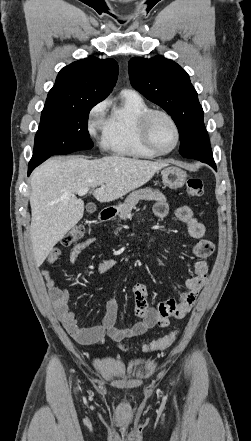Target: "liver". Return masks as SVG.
Wrapping results in <instances>:
<instances>
[{"mask_svg": "<svg viewBox=\"0 0 251 441\" xmlns=\"http://www.w3.org/2000/svg\"><path fill=\"white\" fill-rule=\"evenodd\" d=\"M167 161L154 162L119 155L88 160L80 156L51 158L30 179V239L36 265L83 217L84 202L75 194L92 189L99 202L114 201L147 183ZM105 185V188H97Z\"/></svg>", "mask_w": 251, "mask_h": 441, "instance_id": "liver-1", "label": "liver"}]
</instances>
